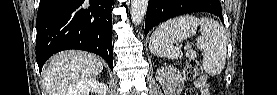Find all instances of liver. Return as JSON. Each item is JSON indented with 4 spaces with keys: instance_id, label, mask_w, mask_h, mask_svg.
<instances>
[{
    "instance_id": "6515ba94",
    "label": "liver",
    "mask_w": 277,
    "mask_h": 95,
    "mask_svg": "<svg viewBox=\"0 0 277 95\" xmlns=\"http://www.w3.org/2000/svg\"><path fill=\"white\" fill-rule=\"evenodd\" d=\"M102 69V61L91 53L79 50L60 52L50 59L43 74L47 94L68 95L77 82L97 76Z\"/></svg>"
}]
</instances>
